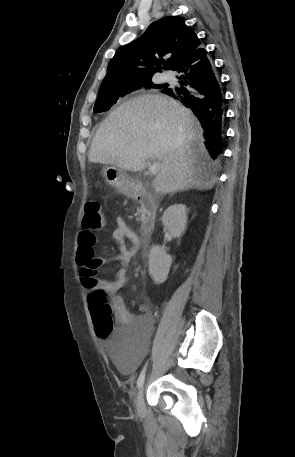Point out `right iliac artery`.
I'll list each match as a JSON object with an SVG mask.
<instances>
[{
    "label": "right iliac artery",
    "instance_id": "right-iliac-artery-1",
    "mask_svg": "<svg viewBox=\"0 0 295 457\" xmlns=\"http://www.w3.org/2000/svg\"><path fill=\"white\" fill-rule=\"evenodd\" d=\"M145 371H146V366L143 368L141 371L138 380H137V387L140 388L143 385L144 379H145Z\"/></svg>",
    "mask_w": 295,
    "mask_h": 457
}]
</instances>
